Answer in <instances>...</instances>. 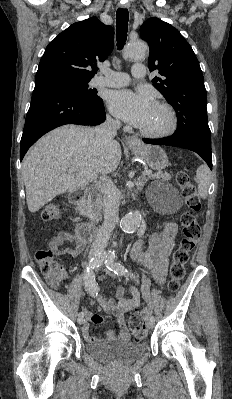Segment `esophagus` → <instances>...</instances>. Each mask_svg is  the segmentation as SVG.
<instances>
[{"label": "esophagus", "instance_id": "1", "mask_svg": "<svg viewBox=\"0 0 232 399\" xmlns=\"http://www.w3.org/2000/svg\"><path fill=\"white\" fill-rule=\"evenodd\" d=\"M129 6L130 4L128 2L120 4L121 8H128ZM126 142L129 148H138L141 145V139L135 135L127 137Z\"/></svg>", "mask_w": 232, "mask_h": 399}]
</instances>
